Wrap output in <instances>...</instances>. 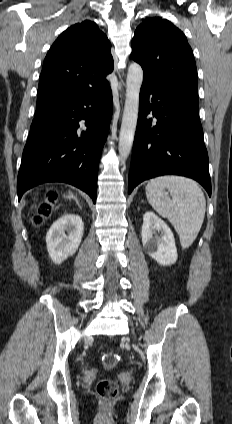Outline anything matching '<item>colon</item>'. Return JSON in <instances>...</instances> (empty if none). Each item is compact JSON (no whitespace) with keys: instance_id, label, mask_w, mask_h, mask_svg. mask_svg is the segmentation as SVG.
I'll list each match as a JSON object with an SVG mask.
<instances>
[{"instance_id":"5ec220e1","label":"colon","mask_w":232,"mask_h":424,"mask_svg":"<svg viewBox=\"0 0 232 424\" xmlns=\"http://www.w3.org/2000/svg\"><path fill=\"white\" fill-rule=\"evenodd\" d=\"M56 199V191L49 190L45 193L42 200L37 201L34 205V223L36 226H41L44 220L51 215ZM117 362L118 356L114 352H107L102 357V364L105 369L114 368ZM96 392L102 400L111 401L116 398L118 394V387L115 381L103 379L97 383Z\"/></svg>"}]
</instances>
